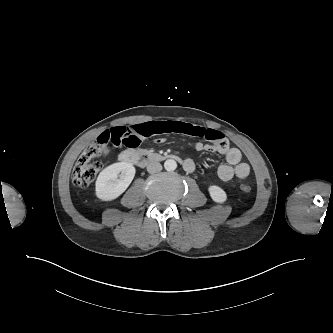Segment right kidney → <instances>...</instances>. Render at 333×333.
Masks as SVG:
<instances>
[{"label":"right kidney","instance_id":"1","mask_svg":"<svg viewBox=\"0 0 333 333\" xmlns=\"http://www.w3.org/2000/svg\"><path fill=\"white\" fill-rule=\"evenodd\" d=\"M135 176L131 163L118 162L103 169L97 177L95 194L101 201L118 198L130 185Z\"/></svg>","mask_w":333,"mask_h":333}]
</instances>
